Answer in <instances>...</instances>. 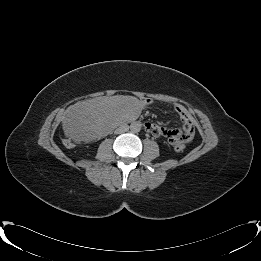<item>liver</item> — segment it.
Masks as SVG:
<instances>
[{
  "instance_id": "obj_1",
  "label": "liver",
  "mask_w": 261,
  "mask_h": 261,
  "mask_svg": "<svg viewBox=\"0 0 261 261\" xmlns=\"http://www.w3.org/2000/svg\"><path fill=\"white\" fill-rule=\"evenodd\" d=\"M140 113L135 97H98L78 102L63 122L67 136L80 142L101 137L118 125V119L129 120Z\"/></svg>"
}]
</instances>
